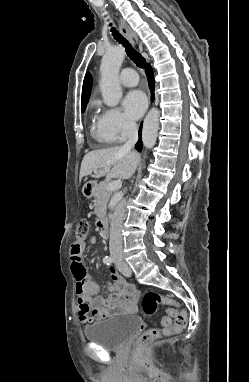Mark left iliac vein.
<instances>
[{
	"label": "left iliac vein",
	"instance_id": "obj_1",
	"mask_svg": "<svg viewBox=\"0 0 249 382\" xmlns=\"http://www.w3.org/2000/svg\"><path fill=\"white\" fill-rule=\"evenodd\" d=\"M115 264L119 271L126 277H130L131 275V269L130 267L123 261L121 257H117L115 259Z\"/></svg>",
	"mask_w": 249,
	"mask_h": 382
}]
</instances>
